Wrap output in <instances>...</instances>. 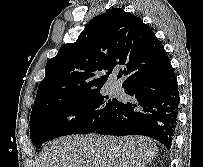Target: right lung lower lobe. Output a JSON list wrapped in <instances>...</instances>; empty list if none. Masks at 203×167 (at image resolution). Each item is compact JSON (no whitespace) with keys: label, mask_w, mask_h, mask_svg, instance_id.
<instances>
[{"label":"right lung lower lobe","mask_w":203,"mask_h":167,"mask_svg":"<svg viewBox=\"0 0 203 167\" xmlns=\"http://www.w3.org/2000/svg\"><path fill=\"white\" fill-rule=\"evenodd\" d=\"M125 93L135 100L121 101L94 132L117 136H149L170 150L179 104L177 79L171 65L129 85Z\"/></svg>","instance_id":"98d812e1"}]
</instances>
